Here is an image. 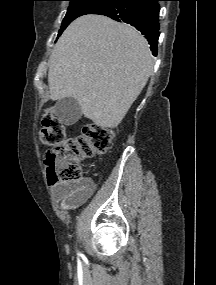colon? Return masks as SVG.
Segmentation results:
<instances>
[{"mask_svg": "<svg viewBox=\"0 0 216 285\" xmlns=\"http://www.w3.org/2000/svg\"><path fill=\"white\" fill-rule=\"evenodd\" d=\"M40 138L51 147L45 158L49 182L75 183L82 177L80 161L105 154L112 146L114 132L89 124L80 135L67 137L63 123L48 111L41 121Z\"/></svg>", "mask_w": 216, "mask_h": 285, "instance_id": "1", "label": "colon"}]
</instances>
